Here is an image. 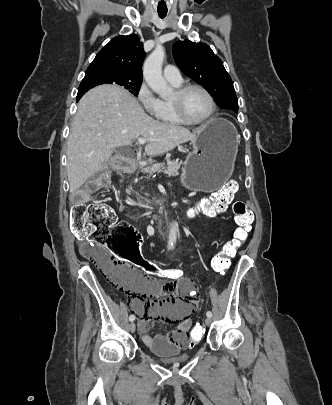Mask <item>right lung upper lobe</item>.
<instances>
[{
  "label": "right lung upper lobe",
  "mask_w": 332,
  "mask_h": 405,
  "mask_svg": "<svg viewBox=\"0 0 332 405\" xmlns=\"http://www.w3.org/2000/svg\"><path fill=\"white\" fill-rule=\"evenodd\" d=\"M144 57L143 44L138 36H117L98 52L86 73L108 70L142 79Z\"/></svg>",
  "instance_id": "right-lung-upper-lobe-1"
}]
</instances>
